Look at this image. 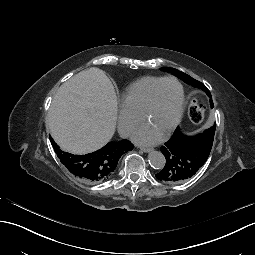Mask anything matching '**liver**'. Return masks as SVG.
I'll return each mask as SVG.
<instances>
[{"instance_id":"1","label":"liver","mask_w":255,"mask_h":255,"mask_svg":"<svg viewBox=\"0 0 255 255\" xmlns=\"http://www.w3.org/2000/svg\"><path fill=\"white\" fill-rule=\"evenodd\" d=\"M116 120L114 86L103 70L93 67L74 75L59 88L47 124L61 148L85 154L110 141Z\"/></svg>"}]
</instances>
